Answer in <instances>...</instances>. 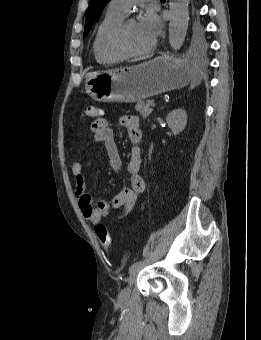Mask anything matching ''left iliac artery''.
<instances>
[{
	"label": "left iliac artery",
	"instance_id": "left-iliac-artery-1",
	"mask_svg": "<svg viewBox=\"0 0 261 340\" xmlns=\"http://www.w3.org/2000/svg\"><path fill=\"white\" fill-rule=\"evenodd\" d=\"M150 259L148 258H145L143 260H140V261H137L135 263H133L130 268H129V271L131 272L132 270H134L135 268H138L140 266H142L144 263L148 262Z\"/></svg>",
	"mask_w": 261,
	"mask_h": 340
}]
</instances>
